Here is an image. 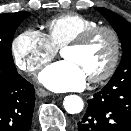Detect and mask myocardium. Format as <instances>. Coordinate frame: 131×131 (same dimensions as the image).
I'll return each instance as SVG.
<instances>
[{
    "instance_id": "myocardium-1",
    "label": "myocardium",
    "mask_w": 131,
    "mask_h": 131,
    "mask_svg": "<svg viewBox=\"0 0 131 131\" xmlns=\"http://www.w3.org/2000/svg\"><path fill=\"white\" fill-rule=\"evenodd\" d=\"M105 32L108 33L113 41V54L112 58L110 60V63L106 67V69L93 77L88 78V81L90 83H101L103 81H106L109 79L114 72L116 71L120 59H121V53H122V43L121 38L118 34V32L110 27V26H104V25H97L95 27H92L90 29L85 30L80 35H78L75 39L67 43L63 48L62 51L65 49L70 48H82L84 47L96 34Z\"/></svg>"
}]
</instances>
